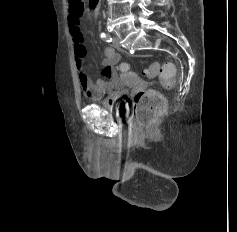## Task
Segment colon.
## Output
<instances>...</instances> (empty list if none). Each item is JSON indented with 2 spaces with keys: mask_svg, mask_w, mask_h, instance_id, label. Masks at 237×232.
<instances>
[{
  "mask_svg": "<svg viewBox=\"0 0 237 232\" xmlns=\"http://www.w3.org/2000/svg\"><path fill=\"white\" fill-rule=\"evenodd\" d=\"M69 6L71 12L77 16H81L85 11L83 0H69ZM120 69L125 71L128 69V65L122 64ZM144 74L148 77L158 75L162 85L170 88L174 85L176 71L175 67L170 63L161 65L154 62L144 71ZM164 106V99L158 92L154 90L141 91L135 96L133 121L139 129L148 130L162 114Z\"/></svg>",
  "mask_w": 237,
  "mask_h": 232,
  "instance_id": "5ec220e1",
  "label": "colon"
}]
</instances>
